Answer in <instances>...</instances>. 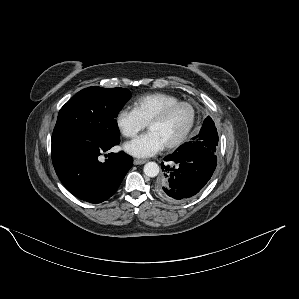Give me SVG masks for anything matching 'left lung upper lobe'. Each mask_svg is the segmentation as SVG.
<instances>
[{
  "mask_svg": "<svg viewBox=\"0 0 299 299\" xmlns=\"http://www.w3.org/2000/svg\"><path fill=\"white\" fill-rule=\"evenodd\" d=\"M206 136L205 138H210V142H212V146H213V153L216 154V147L218 145V134H217V130L215 127V124L213 122V120L210 117H207L204 122H203V126L199 132V134L197 136H195L193 139H198L201 138V136ZM181 146L178 148L180 149Z\"/></svg>",
  "mask_w": 299,
  "mask_h": 299,
  "instance_id": "1",
  "label": "left lung upper lobe"
}]
</instances>
